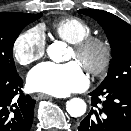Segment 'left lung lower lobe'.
<instances>
[{"instance_id": "left-lung-lower-lobe-1", "label": "left lung lower lobe", "mask_w": 131, "mask_h": 131, "mask_svg": "<svg viewBox=\"0 0 131 131\" xmlns=\"http://www.w3.org/2000/svg\"><path fill=\"white\" fill-rule=\"evenodd\" d=\"M90 95L92 108L79 131H131V89L99 86Z\"/></svg>"}]
</instances>
